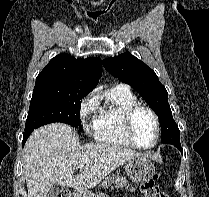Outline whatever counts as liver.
I'll list each match as a JSON object with an SVG mask.
<instances>
[{
    "label": "liver",
    "mask_w": 209,
    "mask_h": 197,
    "mask_svg": "<svg viewBox=\"0 0 209 197\" xmlns=\"http://www.w3.org/2000/svg\"><path fill=\"white\" fill-rule=\"evenodd\" d=\"M24 178L28 197H47L54 184L87 191L140 153L106 143L79 144L73 128L51 123L38 128L24 148ZM82 165L79 175L75 169Z\"/></svg>",
    "instance_id": "liver-1"
}]
</instances>
